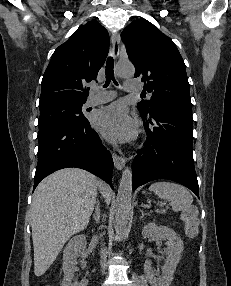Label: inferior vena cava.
<instances>
[{"mask_svg": "<svg viewBox=\"0 0 231 286\" xmlns=\"http://www.w3.org/2000/svg\"><path fill=\"white\" fill-rule=\"evenodd\" d=\"M100 184H102V181H100ZM105 262H106V249L102 248L101 249V266L104 269L105 268Z\"/></svg>", "mask_w": 231, "mask_h": 286, "instance_id": "inferior-vena-cava-1", "label": "inferior vena cava"}]
</instances>
